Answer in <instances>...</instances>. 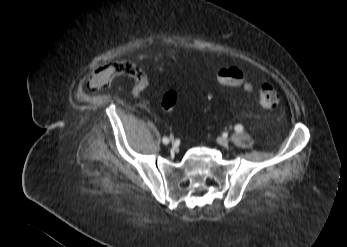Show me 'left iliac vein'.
<instances>
[{
    "label": "left iliac vein",
    "mask_w": 347,
    "mask_h": 247,
    "mask_svg": "<svg viewBox=\"0 0 347 247\" xmlns=\"http://www.w3.org/2000/svg\"><path fill=\"white\" fill-rule=\"evenodd\" d=\"M217 142L221 146H228V144H229V140L227 138H225V137H219L217 139Z\"/></svg>",
    "instance_id": "obj_1"
}]
</instances>
